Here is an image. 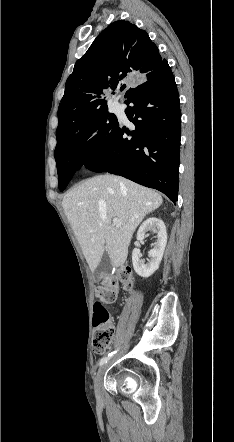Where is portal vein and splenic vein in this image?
Segmentation results:
<instances>
[{"mask_svg":"<svg viewBox=\"0 0 234 442\" xmlns=\"http://www.w3.org/2000/svg\"><path fill=\"white\" fill-rule=\"evenodd\" d=\"M113 225L118 228L121 227L122 223L118 218H113Z\"/></svg>","mask_w":234,"mask_h":442,"instance_id":"portal-vein-and-splenic-vein-1","label":"portal vein and splenic vein"}]
</instances>
